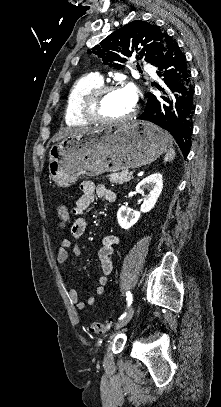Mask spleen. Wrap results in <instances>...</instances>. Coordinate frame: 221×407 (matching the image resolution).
Listing matches in <instances>:
<instances>
[{"instance_id":"3e777b00","label":"spleen","mask_w":221,"mask_h":407,"mask_svg":"<svg viewBox=\"0 0 221 407\" xmlns=\"http://www.w3.org/2000/svg\"><path fill=\"white\" fill-rule=\"evenodd\" d=\"M175 151H174V149L171 147L168 151H167V153H166V155H165V157H164V161L165 162H171V161H173L174 160V158H175Z\"/></svg>"}]
</instances>
